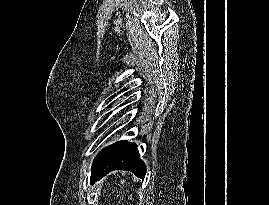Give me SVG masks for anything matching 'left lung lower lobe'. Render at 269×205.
Wrapping results in <instances>:
<instances>
[{
  "instance_id": "0a47b994",
  "label": "left lung lower lobe",
  "mask_w": 269,
  "mask_h": 205,
  "mask_svg": "<svg viewBox=\"0 0 269 205\" xmlns=\"http://www.w3.org/2000/svg\"><path fill=\"white\" fill-rule=\"evenodd\" d=\"M114 170L131 171L137 177L144 179L146 167L139 157L135 143L122 140L101 150L93 161L91 182L98 181Z\"/></svg>"
}]
</instances>
